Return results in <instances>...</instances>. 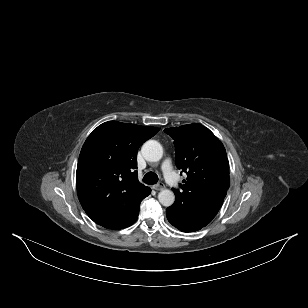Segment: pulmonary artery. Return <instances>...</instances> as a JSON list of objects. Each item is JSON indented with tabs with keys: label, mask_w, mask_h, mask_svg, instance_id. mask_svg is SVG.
Returning <instances> with one entry per match:
<instances>
[{
	"label": "pulmonary artery",
	"mask_w": 308,
	"mask_h": 308,
	"mask_svg": "<svg viewBox=\"0 0 308 308\" xmlns=\"http://www.w3.org/2000/svg\"><path fill=\"white\" fill-rule=\"evenodd\" d=\"M162 171L166 181L173 187L177 188L179 185L178 177L172 169L169 159L165 160L162 164Z\"/></svg>",
	"instance_id": "1"
}]
</instances>
